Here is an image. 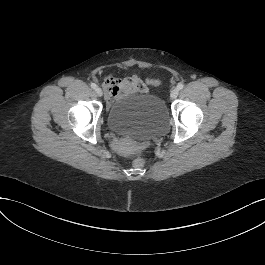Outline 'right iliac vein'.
<instances>
[{
    "label": "right iliac vein",
    "mask_w": 265,
    "mask_h": 265,
    "mask_svg": "<svg viewBox=\"0 0 265 265\" xmlns=\"http://www.w3.org/2000/svg\"><path fill=\"white\" fill-rule=\"evenodd\" d=\"M95 92H96V94H97L98 96H102V95H103V91H102V89H101L100 87H96V88H95Z\"/></svg>",
    "instance_id": "1"
}]
</instances>
